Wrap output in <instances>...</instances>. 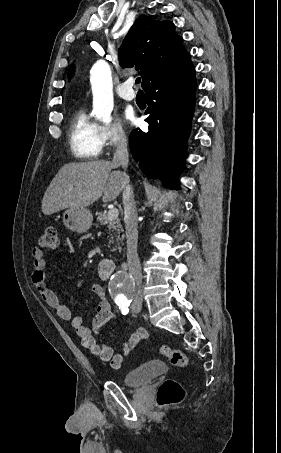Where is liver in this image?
Masks as SVG:
<instances>
[{
  "label": "liver",
  "mask_w": 281,
  "mask_h": 453,
  "mask_svg": "<svg viewBox=\"0 0 281 453\" xmlns=\"http://www.w3.org/2000/svg\"><path fill=\"white\" fill-rule=\"evenodd\" d=\"M110 160L68 162L61 166L51 180L42 200L43 214H53L63 208L90 206L102 196L109 202L119 196L124 176Z\"/></svg>",
  "instance_id": "obj_1"
}]
</instances>
